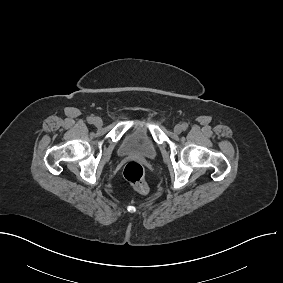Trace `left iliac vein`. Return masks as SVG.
<instances>
[{
    "label": "left iliac vein",
    "mask_w": 283,
    "mask_h": 283,
    "mask_svg": "<svg viewBox=\"0 0 283 283\" xmlns=\"http://www.w3.org/2000/svg\"><path fill=\"white\" fill-rule=\"evenodd\" d=\"M182 130H183V128H182V126L179 125V124L174 127V132H175L176 134H180V133L182 132Z\"/></svg>",
    "instance_id": "4c4485c4"
}]
</instances>
